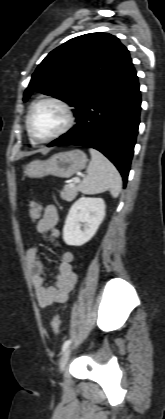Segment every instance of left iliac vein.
I'll list each match as a JSON object with an SVG mask.
<instances>
[{
    "label": "left iliac vein",
    "instance_id": "1",
    "mask_svg": "<svg viewBox=\"0 0 165 419\" xmlns=\"http://www.w3.org/2000/svg\"><path fill=\"white\" fill-rule=\"evenodd\" d=\"M70 354H71V348H68L64 351V353H63V355L60 359V362H59V369H60L61 372H63L65 370V367H66L67 362L69 360Z\"/></svg>",
    "mask_w": 165,
    "mask_h": 419
}]
</instances>
